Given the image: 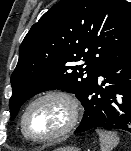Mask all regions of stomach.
Segmentation results:
<instances>
[{"mask_svg":"<svg viewBox=\"0 0 131 151\" xmlns=\"http://www.w3.org/2000/svg\"><path fill=\"white\" fill-rule=\"evenodd\" d=\"M54 151H80V149L74 146H66V147L57 148Z\"/></svg>","mask_w":131,"mask_h":151,"instance_id":"0dacf381","label":"stomach"}]
</instances>
